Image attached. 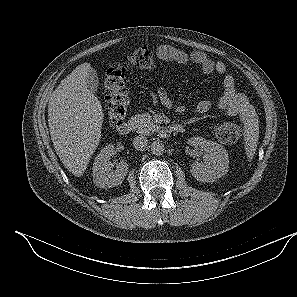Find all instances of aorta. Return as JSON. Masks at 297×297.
Here are the masks:
<instances>
[{
	"label": "aorta",
	"mask_w": 297,
	"mask_h": 297,
	"mask_svg": "<svg viewBox=\"0 0 297 297\" xmlns=\"http://www.w3.org/2000/svg\"><path fill=\"white\" fill-rule=\"evenodd\" d=\"M150 150L154 155H162L165 150L164 144L159 140L153 141L150 145Z\"/></svg>",
	"instance_id": "762f6f07"
}]
</instances>
